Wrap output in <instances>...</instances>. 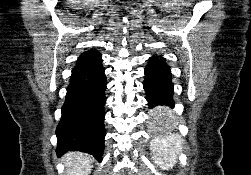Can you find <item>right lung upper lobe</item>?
<instances>
[{"mask_svg":"<svg viewBox=\"0 0 251 175\" xmlns=\"http://www.w3.org/2000/svg\"><path fill=\"white\" fill-rule=\"evenodd\" d=\"M100 53L96 50H90V51H86V52H83L79 58H78V61L77 62H87V61H91L95 58H98L100 57Z\"/></svg>","mask_w":251,"mask_h":175,"instance_id":"1","label":"right lung upper lobe"}]
</instances>
